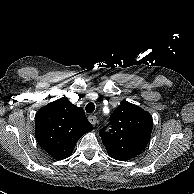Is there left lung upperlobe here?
<instances>
[{
	"label": "left lung upper lobe",
	"mask_w": 194,
	"mask_h": 194,
	"mask_svg": "<svg viewBox=\"0 0 194 194\" xmlns=\"http://www.w3.org/2000/svg\"><path fill=\"white\" fill-rule=\"evenodd\" d=\"M111 129L100 130L108 154L120 161L134 158L147 146L152 132L151 115L137 105L123 102L110 116Z\"/></svg>",
	"instance_id": "5c2ea615"
}]
</instances>
